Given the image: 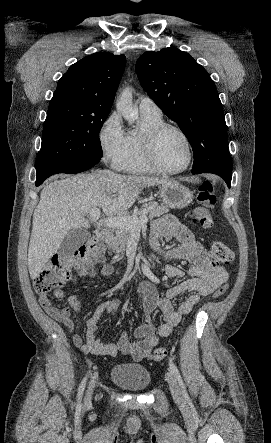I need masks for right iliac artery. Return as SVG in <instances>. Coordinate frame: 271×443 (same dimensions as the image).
<instances>
[{"label": "right iliac artery", "mask_w": 271, "mask_h": 443, "mask_svg": "<svg viewBox=\"0 0 271 443\" xmlns=\"http://www.w3.org/2000/svg\"><path fill=\"white\" fill-rule=\"evenodd\" d=\"M86 380H87V377H85V378L83 379V381H82V383H81V385H80V387H79V392H78V402L81 401V398H82V395H83V392H84V389H85V385H86Z\"/></svg>", "instance_id": "right-iliac-artery-1"}]
</instances>
